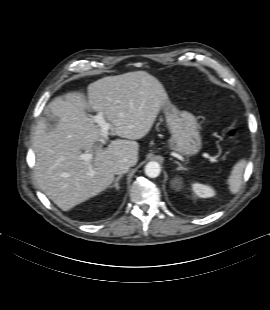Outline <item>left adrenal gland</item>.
<instances>
[{
    "label": "left adrenal gland",
    "mask_w": 270,
    "mask_h": 310,
    "mask_svg": "<svg viewBox=\"0 0 270 310\" xmlns=\"http://www.w3.org/2000/svg\"><path fill=\"white\" fill-rule=\"evenodd\" d=\"M174 162L178 165L177 170H187V168L183 167L180 162L178 161H174Z\"/></svg>",
    "instance_id": "a2214340"
}]
</instances>
